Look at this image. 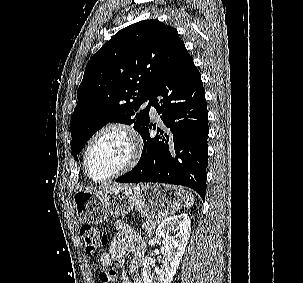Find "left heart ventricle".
I'll list each match as a JSON object with an SVG mask.
<instances>
[{
  "mask_svg": "<svg viewBox=\"0 0 303 283\" xmlns=\"http://www.w3.org/2000/svg\"><path fill=\"white\" fill-rule=\"evenodd\" d=\"M131 144L120 131H109L101 135L92 145L88 156V169L96 179L105 178L121 167L130 158Z\"/></svg>",
  "mask_w": 303,
  "mask_h": 283,
  "instance_id": "1",
  "label": "left heart ventricle"
}]
</instances>
